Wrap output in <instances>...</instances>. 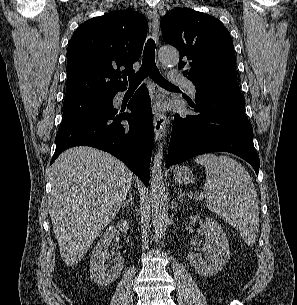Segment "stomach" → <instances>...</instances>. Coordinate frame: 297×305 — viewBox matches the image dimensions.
<instances>
[{
	"label": "stomach",
	"instance_id": "1",
	"mask_svg": "<svg viewBox=\"0 0 297 305\" xmlns=\"http://www.w3.org/2000/svg\"><path fill=\"white\" fill-rule=\"evenodd\" d=\"M174 179L181 184H188L193 180V173L186 166H177L174 169Z\"/></svg>",
	"mask_w": 297,
	"mask_h": 305
}]
</instances>
